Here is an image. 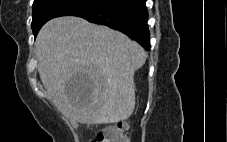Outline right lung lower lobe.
<instances>
[{"label":"right lung lower lobe","mask_w":227,"mask_h":142,"mask_svg":"<svg viewBox=\"0 0 227 142\" xmlns=\"http://www.w3.org/2000/svg\"><path fill=\"white\" fill-rule=\"evenodd\" d=\"M146 0H111L106 5L77 15L92 23L106 25L128 35L150 49Z\"/></svg>","instance_id":"1"}]
</instances>
